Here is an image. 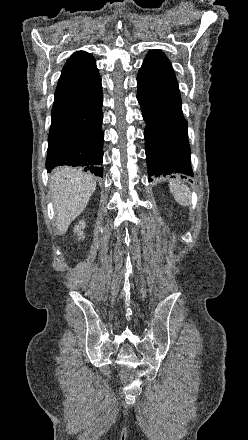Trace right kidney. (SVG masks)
Returning <instances> with one entry per match:
<instances>
[{
	"instance_id": "obj_1",
	"label": "right kidney",
	"mask_w": 248,
	"mask_h": 440,
	"mask_svg": "<svg viewBox=\"0 0 248 440\" xmlns=\"http://www.w3.org/2000/svg\"><path fill=\"white\" fill-rule=\"evenodd\" d=\"M85 228V222L83 220L79 221V224L75 226L74 233H77L79 239L84 238V233L81 229Z\"/></svg>"
}]
</instances>
